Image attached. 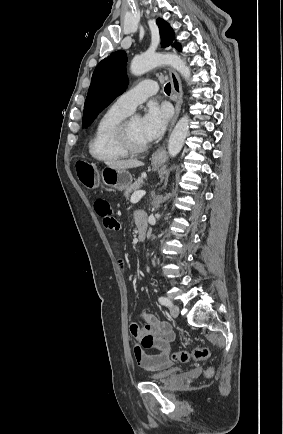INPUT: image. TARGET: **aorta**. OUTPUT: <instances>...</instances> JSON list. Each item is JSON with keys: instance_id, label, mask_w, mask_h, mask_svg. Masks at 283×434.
I'll return each mask as SVG.
<instances>
[{"instance_id": "aorta-1", "label": "aorta", "mask_w": 283, "mask_h": 434, "mask_svg": "<svg viewBox=\"0 0 283 434\" xmlns=\"http://www.w3.org/2000/svg\"><path fill=\"white\" fill-rule=\"evenodd\" d=\"M160 65L172 66L187 81L191 77L189 67L178 55L175 54H143L132 60L130 70L133 75L139 76ZM188 130L189 118L185 115L177 122L170 135L168 152L171 157H175L182 149Z\"/></svg>"}]
</instances>
